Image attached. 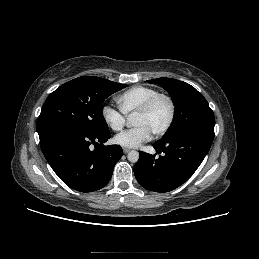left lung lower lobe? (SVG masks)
Here are the masks:
<instances>
[{"mask_svg":"<svg viewBox=\"0 0 259 259\" xmlns=\"http://www.w3.org/2000/svg\"><path fill=\"white\" fill-rule=\"evenodd\" d=\"M214 136L198 131H187L162 138L153 147L162 156L155 158L140 151L134 166L138 183L147 190L169 192L186 182L208 153Z\"/></svg>","mask_w":259,"mask_h":259,"instance_id":"1","label":"left lung lower lobe"}]
</instances>
